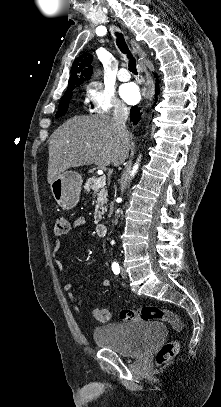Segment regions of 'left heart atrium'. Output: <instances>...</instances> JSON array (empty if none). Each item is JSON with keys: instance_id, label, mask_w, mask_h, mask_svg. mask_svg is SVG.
<instances>
[{"instance_id": "39dd6f15", "label": "left heart atrium", "mask_w": 221, "mask_h": 407, "mask_svg": "<svg viewBox=\"0 0 221 407\" xmlns=\"http://www.w3.org/2000/svg\"><path fill=\"white\" fill-rule=\"evenodd\" d=\"M120 93L122 98L130 104H134L140 99V92L134 83L123 85L120 89Z\"/></svg>"}]
</instances>
